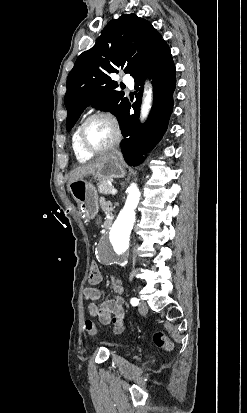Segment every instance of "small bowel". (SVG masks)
<instances>
[{
	"mask_svg": "<svg viewBox=\"0 0 247 413\" xmlns=\"http://www.w3.org/2000/svg\"><path fill=\"white\" fill-rule=\"evenodd\" d=\"M103 209L109 211L111 205L102 200L101 201ZM111 289L114 293V298L107 300L97 306L94 302L97 301L101 296L100 289H86L85 297L87 300L91 301L88 305V313L91 316L98 317L99 321L103 325L113 324L115 332H121L125 326V311L123 300L120 295L123 292V284L119 275L113 274L110 278Z\"/></svg>",
	"mask_w": 247,
	"mask_h": 413,
	"instance_id": "small-bowel-1",
	"label": "small bowel"
}]
</instances>
